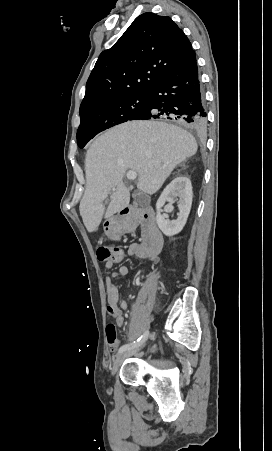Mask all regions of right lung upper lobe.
<instances>
[{
    "label": "right lung upper lobe",
    "instance_id": "right-lung-upper-lobe-1",
    "mask_svg": "<svg viewBox=\"0 0 272 451\" xmlns=\"http://www.w3.org/2000/svg\"><path fill=\"white\" fill-rule=\"evenodd\" d=\"M194 50L170 17H137L116 44L103 51L86 83L80 113L103 102L149 92Z\"/></svg>",
    "mask_w": 272,
    "mask_h": 451
}]
</instances>
